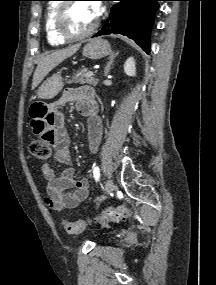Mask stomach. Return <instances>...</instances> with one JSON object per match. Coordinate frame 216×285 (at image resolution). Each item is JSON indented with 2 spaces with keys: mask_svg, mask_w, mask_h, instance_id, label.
Here are the masks:
<instances>
[{
  "mask_svg": "<svg viewBox=\"0 0 216 285\" xmlns=\"http://www.w3.org/2000/svg\"><path fill=\"white\" fill-rule=\"evenodd\" d=\"M111 52L108 41L104 39H92L83 48V56L97 60L107 56ZM64 86L63 78L60 74H54L43 82L37 92L40 99H52L62 90Z\"/></svg>",
  "mask_w": 216,
  "mask_h": 285,
  "instance_id": "1",
  "label": "stomach"
}]
</instances>
